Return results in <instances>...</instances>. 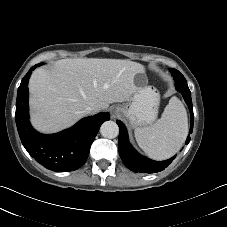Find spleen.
Masks as SVG:
<instances>
[{"mask_svg": "<svg viewBox=\"0 0 227 227\" xmlns=\"http://www.w3.org/2000/svg\"><path fill=\"white\" fill-rule=\"evenodd\" d=\"M134 133L138 145L150 157L162 160L173 156L188 134L187 114L183 104L177 97H172L155 124L136 128Z\"/></svg>", "mask_w": 227, "mask_h": 227, "instance_id": "spleen-1", "label": "spleen"}]
</instances>
